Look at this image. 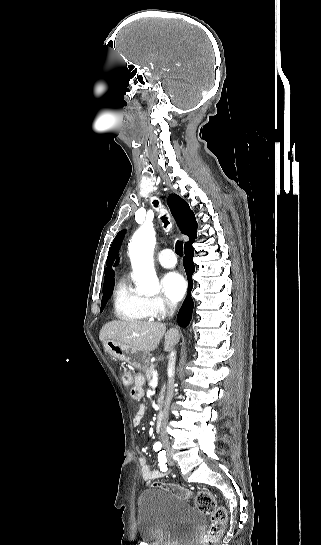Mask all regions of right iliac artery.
Returning <instances> with one entry per match:
<instances>
[{"label": "right iliac artery", "mask_w": 321, "mask_h": 545, "mask_svg": "<svg viewBox=\"0 0 321 545\" xmlns=\"http://www.w3.org/2000/svg\"><path fill=\"white\" fill-rule=\"evenodd\" d=\"M161 443L160 442H156L154 445H153V449L155 451H159L161 449Z\"/></svg>", "instance_id": "82829eb1"}]
</instances>
